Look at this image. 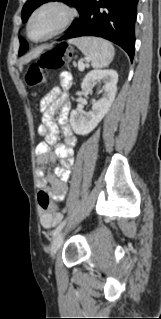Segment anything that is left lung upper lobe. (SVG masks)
I'll list each match as a JSON object with an SVG mask.
<instances>
[{"label": "left lung upper lobe", "instance_id": "5c2ea615", "mask_svg": "<svg viewBox=\"0 0 161 319\" xmlns=\"http://www.w3.org/2000/svg\"><path fill=\"white\" fill-rule=\"evenodd\" d=\"M49 1H60L68 5L76 7L80 13V18H81L83 14L85 13V10L87 9V6L90 0H27L22 10V21L26 22L34 9H36L41 4L49 2ZM79 19H76L73 21V23L69 27V31L76 25ZM19 39H20L19 55H22L27 51L28 45L22 37H19Z\"/></svg>", "mask_w": 161, "mask_h": 319}]
</instances>
